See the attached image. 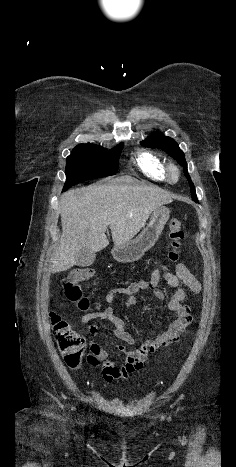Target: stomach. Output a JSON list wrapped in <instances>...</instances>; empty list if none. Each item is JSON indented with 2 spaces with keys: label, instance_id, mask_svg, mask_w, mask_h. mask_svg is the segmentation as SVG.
<instances>
[{
  "label": "stomach",
  "instance_id": "1",
  "mask_svg": "<svg viewBox=\"0 0 236 467\" xmlns=\"http://www.w3.org/2000/svg\"><path fill=\"white\" fill-rule=\"evenodd\" d=\"M169 217L170 210L167 207H157L151 215L149 224L135 239L113 247L111 251L113 258L121 263L140 259L155 245Z\"/></svg>",
  "mask_w": 236,
  "mask_h": 467
}]
</instances>
